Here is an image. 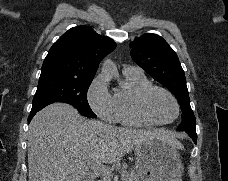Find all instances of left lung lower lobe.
<instances>
[{
  "label": "left lung lower lobe",
  "mask_w": 228,
  "mask_h": 181,
  "mask_svg": "<svg viewBox=\"0 0 228 181\" xmlns=\"http://www.w3.org/2000/svg\"><path fill=\"white\" fill-rule=\"evenodd\" d=\"M188 133V135L192 138V140L194 141V143H197V134H196V130H187L185 131Z\"/></svg>",
  "instance_id": "left-lung-lower-lobe-1"
}]
</instances>
